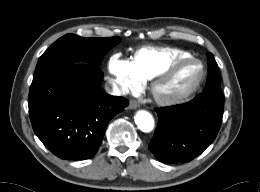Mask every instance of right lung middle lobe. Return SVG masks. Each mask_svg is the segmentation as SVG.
<instances>
[{
  "label": "right lung middle lobe",
  "instance_id": "1",
  "mask_svg": "<svg viewBox=\"0 0 260 192\" xmlns=\"http://www.w3.org/2000/svg\"><path fill=\"white\" fill-rule=\"evenodd\" d=\"M119 42V37L82 38L74 34H66L42 54L34 76L50 66L63 62L83 61L99 66L103 55Z\"/></svg>",
  "mask_w": 260,
  "mask_h": 192
}]
</instances>
